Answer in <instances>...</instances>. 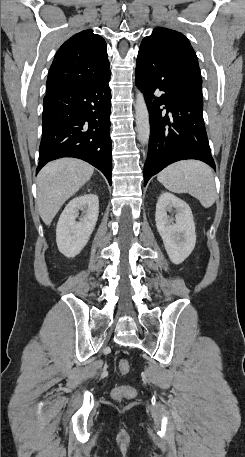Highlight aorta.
Returning a JSON list of instances; mask_svg holds the SVG:
<instances>
[{"label":"aorta","instance_id":"1","mask_svg":"<svg viewBox=\"0 0 245 457\" xmlns=\"http://www.w3.org/2000/svg\"><path fill=\"white\" fill-rule=\"evenodd\" d=\"M135 121L138 140L143 145L148 144L150 138L149 112L144 95L140 90H137L136 93Z\"/></svg>","mask_w":245,"mask_h":457}]
</instances>
